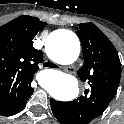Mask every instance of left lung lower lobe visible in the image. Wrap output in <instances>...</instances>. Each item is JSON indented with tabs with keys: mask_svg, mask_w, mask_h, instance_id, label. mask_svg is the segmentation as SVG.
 <instances>
[{
	"mask_svg": "<svg viewBox=\"0 0 124 124\" xmlns=\"http://www.w3.org/2000/svg\"><path fill=\"white\" fill-rule=\"evenodd\" d=\"M50 104L53 115L61 124H71L66 114L64 102H59L51 99Z\"/></svg>",
	"mask_w": 124,
	"mask_h": 124,
	"instance_id": "obj_1",
	"label": "left lung lower lobe"
}]
</instances>
